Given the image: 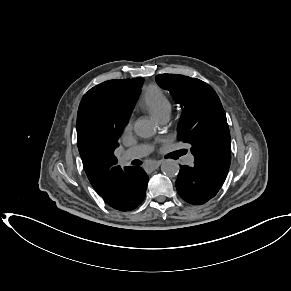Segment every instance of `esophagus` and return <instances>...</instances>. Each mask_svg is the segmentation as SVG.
I'll use <instances>...</instances> for the list:
<instances>
[{
  "mask_svg": "<svg viewBox=\"0 0 291 291\" xmlns=\"http://www.w3.org/2000/svg\"><path fill=\"white\" fill-rule=\"evenodd\" d=\"M162 161H154L152 163L149 164V169L154 170L156 168H158L161 165Z\"/></svg>",
  "mask_w": 291,
  "mask_h": 291,
  "instance_id": "1",
  "label": "esophagus"
}]
</instances>
